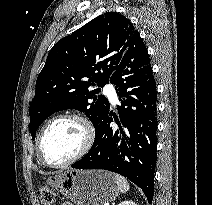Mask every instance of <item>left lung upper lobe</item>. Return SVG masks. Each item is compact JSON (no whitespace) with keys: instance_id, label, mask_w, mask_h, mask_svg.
I'll list each match as a JSON object with an SVG mask.
<instances>
[{"instance_id":"left-lung-upper-lobe-1","label":"left lung upper lobe","mask_w":212,"mask_h":205,"mask_svg":"<svg viewBox=\"0 0 212 205\" xmlns=\"http://www.w3.org/2000/svg\"><path fill=\"white\" fill-rule=\"evenodd\" d=\"M138 34L125 16L104 13L59 40L50 50L36 81L30 104L32 138L50 115L65 109L85 112L96 128L109 109L108 100L97 94L109 83L125 51Z\"/></svg>"}]
</instances>
